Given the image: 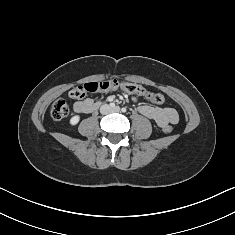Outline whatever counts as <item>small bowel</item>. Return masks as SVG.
<instances>
[{"label":"small bowel","mask_w":235,"mask_h":235,"mask_svg":"<svg viewBox=\"0 0 235 235\" xmlns=\"http://www.w3.org/2000/svg\"><path fill=\"white\" fill-rule=\"evenodd\" d=\"M96 103L91 98H86L74 103V110L77 113H90L91 107ZM138 111L145 117L153 120L159 127H166L176 124L179 121V115L176 109L172 107H153L147 104H140Z\"/></svg>","instance_id":"1"}]
</instances>
